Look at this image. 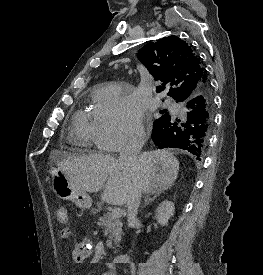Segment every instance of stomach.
<instances>
[{
    "label": "stomach",
    "mask_w": 263,
    "mask_h": 275,
    "mask_svg": "<svg viewBox=\"0 0 263 275\" xmlns=\"http://www.w3.org/2000/svg\"><path fill=\"white\" fill-rule=\"evenodd\" d=\"M49 174L52 179V190L57 197L70 200L79 208L91 207V197L85 191L77 189L59 168L51 167Z\"/></svg>",
    "instance_id": "stomach-1"
}]
</instances>
